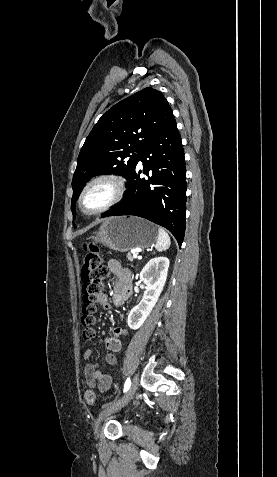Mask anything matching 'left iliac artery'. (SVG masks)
<instances>
[{
  "mask_svg": "<svg viewBox=\"0 0 277 477\" xmlns=\"http://www.w3.org/2000/svg\"><path fill=\"white\" fill-rule=\"evenodd\" d=\"M130 385H131L130 378H127V380L125 382V385H124V392L128 391V389L130 388Z\"/></svg>",
  "mask_w": 277,
  "mask_h": 477,
  "instance_id": "obj_1",
  "label": "left iliac artery"
}]
</instances>
